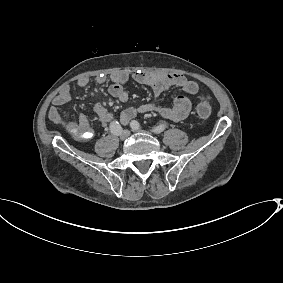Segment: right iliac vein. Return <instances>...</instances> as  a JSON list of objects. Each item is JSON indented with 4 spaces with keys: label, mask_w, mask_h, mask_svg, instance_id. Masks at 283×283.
I'll list each match as a JSON object with an SVG mask.
<instances>
[{
    "label": "right iliac vein",
    "mask_w": 283,
    "mask_h": 283,
    "mask_svg": "<svg viewBox=\"0 0 283 283\" xmlns=\"http://www.w3.org/2000/svg\"><path fill=\"white\" fill-rule=\"evenodd\" d=\"M130 135L129 130H123L120 134V139L125 140Z\"/></svg>",
    "instance_id": "obj_1"
}]
</instances>
